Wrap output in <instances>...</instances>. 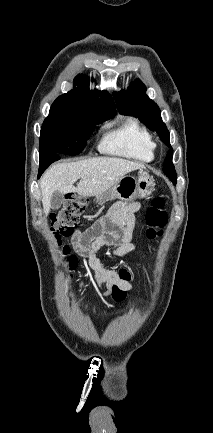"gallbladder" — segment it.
<instances>
[{
	"mask_svg": "<svg viewBox=\"0 0 213 433\" xmlns=\"http://www.w3.org/2000/svg\"><path fill=\"white\" fill-rule=\"evenodd\" d=\"M64 202V195L60 191H54L51 196L50 207L52 210H57Z\"/></svg>",
	"mask_w": 213,
	"mask_h": 433,
	"instance_id": "obj_1",
	"label": "gallbladder"
}]
</instances>
